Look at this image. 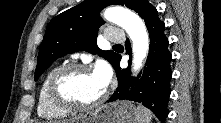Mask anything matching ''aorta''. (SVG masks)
<instances>
[{
	"mask_svg": "<svg viewBox=\"0 0 221 123\" xmlns=\"http://www.w3.org/2000/svg\"><path fill=\"white\" fill-rule=\"evenodd\" d=\"M105 20L121 26L132 41V71L138 72L142 62L148 55L149 37L141 18L123 7H111L104 13Z\"/></svg>",
	"mask_w": 221,
	"mask_h": 123,
	"instance_id": "762f6f07",
	"label": "aorta"
}]
</instances>
